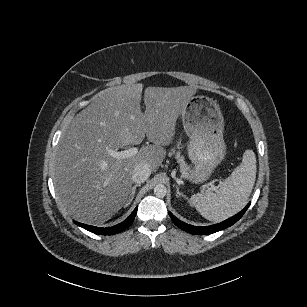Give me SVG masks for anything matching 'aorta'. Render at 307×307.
Returning a JSON list of instances; mask_svg holds the SVG:
<instances>
[{"mask_svg": "<svg viewBox=\"0 0 307 307\" xmlns=\"http://www.w3.org/2000/svg\"><path fill=\"white\" fill-rule=\"evenodd\" d=\"M154 194L158 198H163L167 194V188L163 184H157L154 187Z\"/></svg>", "mask_w": 307, "mask_h": 307, "instance_id": "aorta-1", "label": "aorta"}]
</instances>
